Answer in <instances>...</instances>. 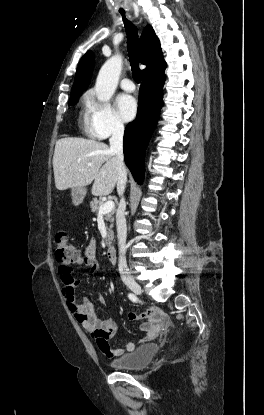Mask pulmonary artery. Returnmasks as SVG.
Masks as SVG:
<instances>
[{
    "mask_svg": "<svg viewBox=\"0 0 264 415\" xmlns=\"http://www.w3.org/2000/svg\"><path fill=\"white\" fill-rule=\"evenodd\" d=\"M120 87L126 92H132L135 89V85L129 78H125L120 82Z\"/></svg>",
    "mask_w": 264,
    "mask_h": 415,
    "instance_id": "pulmonary-artery-1",
    "label": "pulmonary artery"
}]
</instances>
